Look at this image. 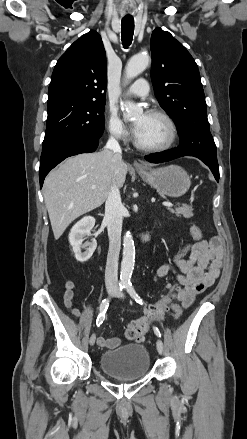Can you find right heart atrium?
<instances>
[{
    "label": "right heart atrium",
    "instance_id": "d8ad5b80",
    "mask_svg": "<svg viewBox=\"0 0 247 439\" xmlns=\"http://www.w3.org/2000/svg\"><path fill=\"white\" fill-rule=\"evenodd\" d=\"M106 129L108 135L115 140L126 141L129 137L125 124L114 110L109 111L107 115Z\"/></svg>",
    "mask_w": 247,
    "mask_h": 439
}]
</instances>
